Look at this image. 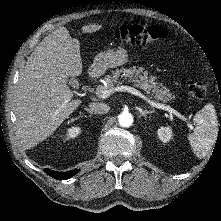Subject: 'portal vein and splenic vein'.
Listing matches in <instances>:
<instances>
[{"mask_svg": "<svg viewBox=\"0 0 221 221\" xmlns=\"http://www.w3.org/2000/svg\"><path fill=\"white\" fill-rule=\"evenodd\" d=\"M115 91H126V92H129V93L133 94V95H136V96L142 98L143 100H145L147 103H149L153 107L161 109V110H165V111L169 112L170 114H174L178 118H180L183 121H185L190 129L193 128L191 122L189 120H187L186 117H184L179 112H177L175 109L171 108L168 105L154 102L153 100L147 98L143 93H141L140 91H138L137 89H135L133 87H130V86H118V87H114L113 89H109V90H101V89L98 90L97 89L96 90V95L99 98L105 99V98H108L111 95V93H113Z\"/></svg>", "mask_w": 221, "mask_h": 221, "instance_id": "portal-vein-and-splenic-vein-1", "label": "portal vein and splenic vein"}]
</instances>
